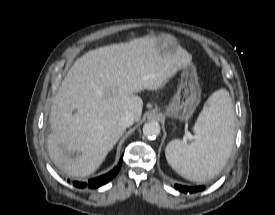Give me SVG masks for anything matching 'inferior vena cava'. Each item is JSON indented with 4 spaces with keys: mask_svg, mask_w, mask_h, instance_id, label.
Here are the masks:
<instances>
[{
    "mask_svg": "<svg viewBox=\"0 0 275 215\" xmlns=\"http://www.w3.org/2000/svg\"><path fill=\"white\" fill-rule=\"evenodd\" d=\"M134 123V116L131 112H125L120 118L118 124L122 127H129Z\"/></svg>",
    "mask_w": 275,
    "mask_h": 215,
    "instance_id": "obj_1",
    "label": "inferior vena cava"
}]
</instances>
